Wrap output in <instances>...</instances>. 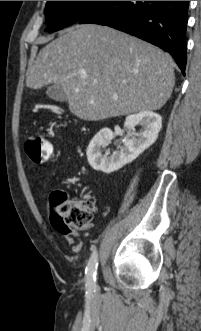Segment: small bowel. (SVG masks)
I'll list each match as a JSON object with an SVG mask.
<instances>
[{
    "label": "small bowel",
    "instance_id": "small-bowel-1",
    "mask_svg": "<svg viewBox=\"0 0 201 331\" xmlns=\"http://www.w3.org/2000/svg\"><path fill=\"white\" fill-rule=\"evenodd\" d=\"M60 178L57 179L59 181ZM60 234L64 237L66 242L71 245L73 252H79L81 249V243L78 240L76 233L72 232L66 227L59 228Z\"/></svg>",
    "mask_w": 201,
    "mask_h": 331
}]
</instances>
